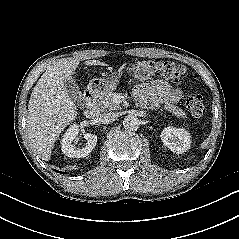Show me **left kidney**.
Here are the masks:
<instances>
[{
	"label": "left kidney",
	"instance_id": "obj_1",
	"mask_svg": "<svg viewBox=\"0 0 239 239\" xmlns=\"http://www.w3.org/2000/svg\"><path fill=\"white\" fill-rule=\"evenodd\" d=\"M160 137L163 144L174 153L182 154L190 148V134L183 128L166 127Z\"/></svg>",
	"mask_w": 239,
	"mask_h": 239
}]
</instances>
